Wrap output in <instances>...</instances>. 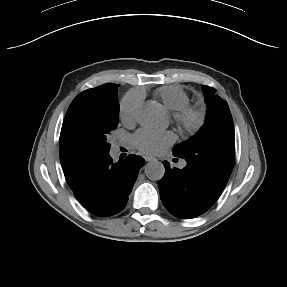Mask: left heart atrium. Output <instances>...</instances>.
Instances as JSON below:
<instances>
[{"mask_svg": "<svg viewBox=\"0 0 287 287\" xmlns=\"http://www.w3.org/2000/svg\"><path fill=\"white\" fill-rule=\"evenodd\" d=\"M172 139L170 134L143 131L136 136L134 143L140 151L154 155L162 151Z\"/></svg>", "mask_w": 287, "mask_h": 287, "instance_id": "obj_1", "label": "left heart atrium"}]
</instances>
